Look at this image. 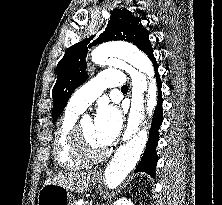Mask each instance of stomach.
Returning <instances> with one entry per match:
<instances>
[{"label":"stomach","instance_id":"stomach-1","mask_svg":"<svg viewBox=\"0 0 222 205\" xmlns=\"http://www.w3.org/2000/svg\"><path fill=\"white\" fill-rule=\"evenodd\" d=\"M97 180V176L93 174L92 181ZM38 205H72V196L60 185L44 184L38 194Z\"/></svg>","mask_w":222,"mask_h":205}]
</instances>
